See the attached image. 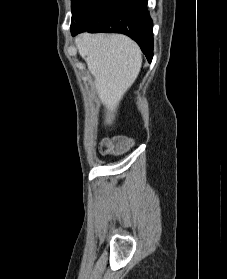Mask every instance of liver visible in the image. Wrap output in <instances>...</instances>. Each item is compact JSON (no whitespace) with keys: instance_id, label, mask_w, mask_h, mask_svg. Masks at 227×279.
Here are the masks:
<instances>
[{"instance_id":"1","label":"liver","mask_w":227,"mask_h":279,"mask_svg":"<svg viewBox=\"0 0 227 279\" xmlns=\"http://www.w3.org/2000/svg\"><path fill=\"white\" fill-rule=\"evenodd\" d=\"M75 44L95 78L97 94L105 107V123L110 125L120 101L140 72L141 50L121 34L82 33L75 38Z\"/></svg>"}]
</instances>
